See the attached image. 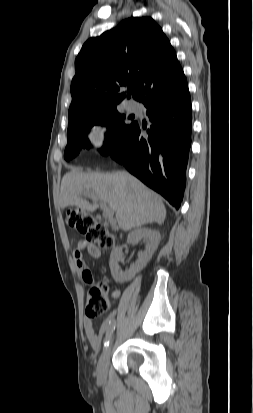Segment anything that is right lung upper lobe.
Returning <instances> with one entry per match:
<instances>
[{"label":"right lung upper lobe","mask_w":253,"mask_h":413,"mask_svg":"<svg viewBox=\"0 0 253 413\" xmlns=\"http://www.w3.org/2000/svg\"><path fill=\"white\" fill-rule=\"evenodd\" d=\"M69 121L115 106L126 98L141 103L175 95L187 80L175 51L151 17L122 21L116 28L88 39L75 60Z\"/></svg>","instance_id":"1"}]
</instances>
